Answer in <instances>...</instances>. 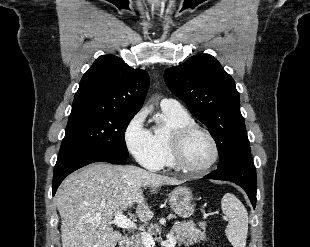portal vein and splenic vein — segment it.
<instances>
[{
    "label": "portal vein and splenic vein",
    "instance_id": "18ae733b",
    "mask_svg": "<svg viewBox=\"0 0 310 247\" xmlns=\"http://www.w3.org/2000/svg\"><path fill=\"white\" fill-rule=\"evenodd\" d=\"M111 223L124 229L136 228L135 223L130 218L126 217L122 211L115 213V218ZM141 238L145 247H154L155 241L151 234L143 232L141 233ZM161 245L164 247H175L176 239L173 237H168L167 240L162 241Z\"/></svg>",
    "mask_w": 310,
    "mask_h": 247
}]
</instances>
